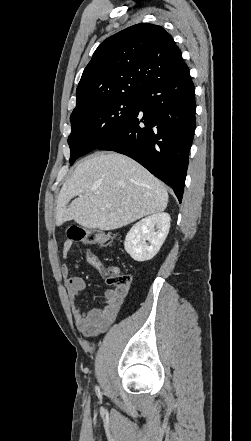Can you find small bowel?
<instances>
[{
  "label": "small bowel",
  "instance_id": "c3829d8e",
  "mask_svg": "<svg viewBox=\"0 0 251 441\" xmlns=\"http://www.w3.org/2000/svg\"><path fill=\"white\" fill-rule=\"evenodd\" d=\"M72 245L73 243L69 240L64 242L61 250L63 258L69 256ZM86 260L93 268L102 274L105 268L96 254L90 249L86 250ZM62 274L67 279V290L72 299L77 329L87 337H93L106 331L116 320L124 298L127 295L128 288L115 287L113 289H107L104 292V304L102 307L82 310L75 304L74 300L75 297L86 288L84 279L80 276L72 275L69 265L62 267Z\"/></svg>",
  "mask_w": 251,
  "mask_h": 441
}]
</instances>
